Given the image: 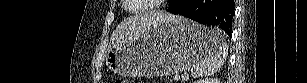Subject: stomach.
Here are the masks:
<instances>
[{"mask_svg":"<svg viewBox=\"0 0 307 83\" xmlns=\"http://www.w3.org/2000/svg\"><path fill=\"white\" fill-rule=\"evenodd\" d=\"M210 29L181 16L113 46L106 65L122 76H167L190 69L212 49Z\"/></svg>","mask_w":307,"mask_h":83,"instance_id":"1","label":"stomach"}]
</instances>
